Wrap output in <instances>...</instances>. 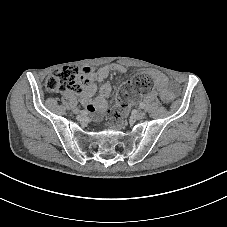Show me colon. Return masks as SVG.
Instances as JSON below:
<instances>
[{"instance_id":"5ec220e1","label":"colon","mask_w":227,"mask_h":227,"mask_svg":"<svg viewBox=\"0 0 227 227\" xmlns=\"http://www.w3.org/2000/svg\"><path fill=\"white\" fill-rule=\"evenodd\" d=\"M46 90L52 93L72 90L82 91L81 75L79 70L73 66H64L51 74L45 82ZM153 87V79L148 74H138L130 81L124 83L117 95L118 105L110 112V117L116 123L124 121L128 106L146 91Z\"/></svg>"}]
</instances>
